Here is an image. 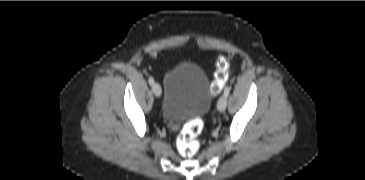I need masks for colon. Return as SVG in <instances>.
Returning a JSON list of instances; mask_svg holds the SVG:
<instances>
[{"label":"colon","instance_id":"5ec220e1","mask_svg":"<svg viewBox=\"0 0 365 180\" xmlns=\"http://www.w3.org/2000/svg\"><path fill=\"white\" fill-rule=\"evenodd\" d=\"M229 76V65L224 58H219L216 64V72L211 85L213 93L218 94L224 87ZM203 130L200 120H192L181 130L177 138V149L184 157H193L200 149L199 135Z\"/></svg>","mask_w":365,"mask_h":180}]
</instances>
